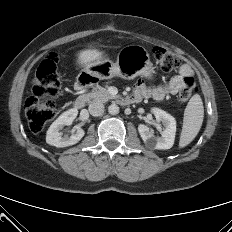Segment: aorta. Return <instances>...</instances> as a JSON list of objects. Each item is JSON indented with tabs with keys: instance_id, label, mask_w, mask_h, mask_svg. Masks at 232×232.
Masks as SVG:
<instances>
[{
	"instance_id": "762f6f07",
	"label": "aorta",
	"mask_w": 232,
	"mask_h": 232,
	"mask_svg": "<svg viewBox=\"0 0 232 232\" xmlns=\"http://www.w3.org/2000/svg\"><path fill=\"white\" fill-rule=\"evenodd\" d=\"M108 112L109 114L111 115H117L119 113V107L118 105L116 104H111L109 107H108Z\"/></svg>"
}]
</instances>
